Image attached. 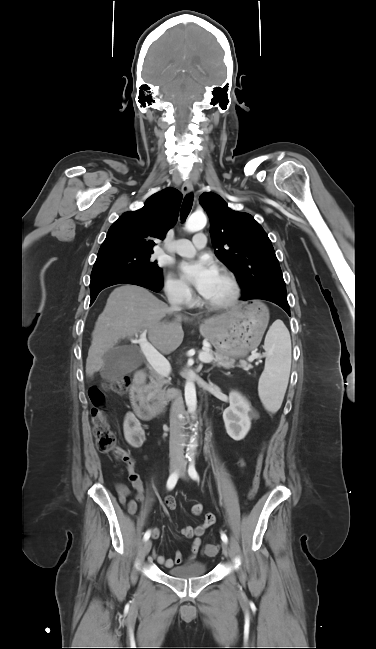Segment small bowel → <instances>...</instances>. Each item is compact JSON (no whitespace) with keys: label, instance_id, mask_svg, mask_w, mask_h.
I'll list each match as a JSON object with an SVG mask.
<instances>
[{"label":"small bowel","instance_id":"obj_1","mask_svg":"<svg viewBox=\"0 0 376 649\" xmlns=\"http://www.w3.org/2000/svg\"><path fill=\"white\" fill-rule=\"evenodd\" d=\"M122 428L125 441L131 447L139 448L145 437L141 421L132 412H128L124 417ZM240 466H243V462H240ZM128 480L136 491L134 499L129 498L131 491L125 484L117 483L115 488L120 504L123 505L131 515H134L138 511L140 503L144 500V486L140 476L134 471L133 466L128 467ZM164 505L169 511L176 509V501L173 497H167L164 501ZM191 511L194 515L199 516L203 512V505L201 503H194ZM215 522L216 516L213 513H207L200 524L194 527L186 526L181 529V534L183 536L193 539L187 558L184 559L180 551L175 552L174 558H166L154 551V559L158 564L165 568H172L175 565L195 561L201 546V537ZM149 531L152 533L153 539L160 538L161 532L158 528L153 527Z\"/></svg>","mask_w":376,"mask_h":649}]
</instances>
